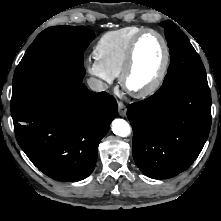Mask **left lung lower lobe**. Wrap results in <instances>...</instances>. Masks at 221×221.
Wrapping results in <instances>:
<instances>
[{
    "label": "left lung lower lobe",
    "instance_id": "0a47b994",
    "mask_svg": "<svg viewBox=\"0 0 221 221\" xmlns=\"http://www.w3.org/2000/svg\"><path fill=\"white\" fill-rule=\"evenodd\" d=\"M133 127V158L148 177L167 179L190 167L211 127L207 82L174 79L127 111Z\"/></svg>",
    "mask_w": 221,
    "mask_h": 221
}]
</instances>
